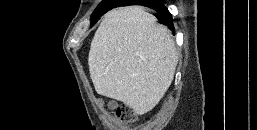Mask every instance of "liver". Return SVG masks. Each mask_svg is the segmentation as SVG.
Segmentation results:
<instances>
[{
    "label": "liver",
    "mask_w": 257,
    "mask_h": 130,
    "mask_svg": "<svg viewBox=\"0 0 257 130\" xmlns=\"http://www.w3.org/2000/svg\"><path fill=\"white\" fill-rule=\"evenodd\" d=\"M140 6L113 9L98 27L88 56L96 92L136 114L151 111L170 87L178 54L167 27Z\"/></svg>",
    "instance_id": "1"
}]
</instances>
